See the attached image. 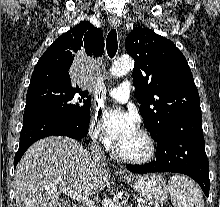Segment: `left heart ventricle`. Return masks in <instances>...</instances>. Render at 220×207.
<instances>
[{"label":"left heart ventricle","mask_w":220,"mask_h":207,"mask_svg":"<svg viewBox=\"0 0 220 207\" xmlns=\"http://www.w3.org/2000/svg\"><path fill=\"white\" fill-rule=\"evenodd\" d=\"M118 147L123 155L134 158L142 157L148 151V143L138 130L119 143Z\"/></svg>","instance_id":"b2bd125f"}]
</instances>
